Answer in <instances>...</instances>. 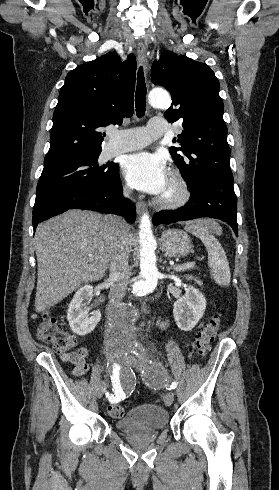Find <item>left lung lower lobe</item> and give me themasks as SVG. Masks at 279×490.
<instances>
[{"label":"left lung lower lobe","instance_id":"obj_1","mask_svg":"<svg viewBox=\"0 0 279 490\" xmlns=\"http://www.w3.org/2000/svg\"><path fill=\"white\" fill-rule=\"evenodd\" d=\"M190 200L177 210L160 211L153 218L154 225L169 224L196 218H216L226 222L238 236L236 221L237 198L233 182L202 177L190 188Z\"/></svg>","mask_w":279,"mask_h":490}]
</instances>
